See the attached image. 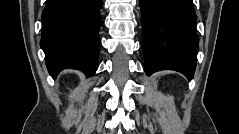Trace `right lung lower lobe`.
<instances>
[{"mask_svg":"<svg viewBox=\"0 0 239 134\" xmlns=\"http://www.w3.org/2000/svg\"><path fill=\"white\" fill-rule=\"evenodd\" d=\"M101 0H47L40 46L55 78L66 68L91 76L97 70Z\"/></svg>","mask_w":239,"mask_h":134,"instance_id":"98d812e1","label":"right lung lower lobe"}]
</instances>
